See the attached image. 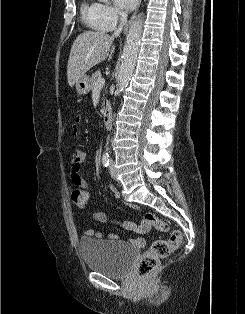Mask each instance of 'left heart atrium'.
Segmentation results:
<instances>
[{"label":"left heart atrium","mask_w":245,"mask_h":314,"mask_svg":"<svg viewBox=\"0 0 245 314\" xmlns=\"http://www.w3.org/2000/svg\"><path fill=\"white\" fill-rule=\"evenodd\" d=\"M118 7L124 11H129L135 7L138 0H115Z\"/></svg>","instance_id":"obj_1"}]
</instances>
